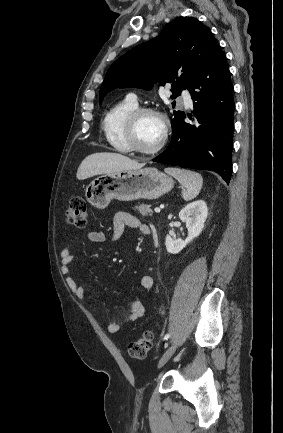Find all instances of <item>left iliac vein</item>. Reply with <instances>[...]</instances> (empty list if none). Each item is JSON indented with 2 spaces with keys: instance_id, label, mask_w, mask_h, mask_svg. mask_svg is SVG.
Masks as SVG:
<instances>
[{
  "instance_id": "obj_1",
  "label": "left iliac vein",
  "mask_w": 283,
  "mask_h": 433,
  "mask_svg": "<svg viewBox=\"0 0 283 433\" xmlns=\"http://www.w3.org/2000/svg\"><path fill=\"white\" fill-rule=\"evenodd\" d=\"M176 348H177V344H173L165 351V353L162 355V357L159 360L158 367H162L167 363V361L171 358V356L176 351Z\"/></svg>"
}]
</instances>
